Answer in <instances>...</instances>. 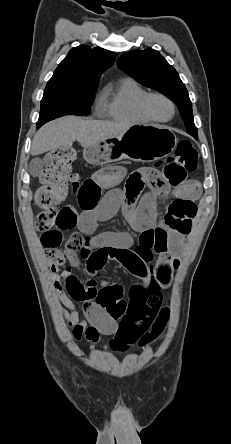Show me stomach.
<instances>
[{
    "label": "stomach",
    "mask_w": 231,
    "mask_h": 444,
    "mask_svg": "<svg viewBox=\"0 0 231 444\" xmlns=\"http://www.w3.org/2000/svg\"><path fill=\"white\" fill-rule=\"evenodd\" d=\"M177 145L171 129L153 124L131 126L119 136L105 138L84 149V158L90 164H106L130 159L152 162L170 155Z\"/></svg>",
    "instance_id": "stomach-1"
}]
</instances>
